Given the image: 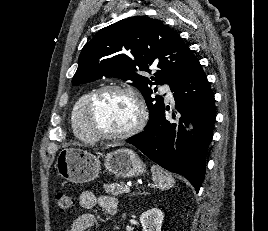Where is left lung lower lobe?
<instances>
[{
  "label": "left lung lower lobe",
  "mask_w": 268,
  "mask_h": 231,
  "mask_svg": "<svg viewBox=\"0 0 268 231\" xmlns=\"http://www.w3.org/2000/svg\"><path fill=\"white\" fill-rule=\"evenodd\" d=\"M170 88L178 118L173 115L174 121H168L164 107L149 127L129 140L160 166L184 176L198 192L216 118L214 94L198 59ZM190 122L192 134L185 131Z\"/></svg>",
  "instance_id": "left-lung-lower-lobe-1"
}]
</instances>
